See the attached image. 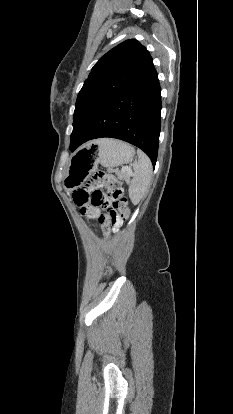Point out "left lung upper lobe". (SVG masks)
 I'll return each mask as SVG.
<instances>
[{"label": "left lung upper lobe", "mask_w": 233, "mask_h": 414, "mask_svg": "<svg viewBox=\"0 0 233 414\" xmlns=\"http://www.w3.org/2000/svg\"><path fill=\"white\" fill-rule=\"evenodd\" d=\"M152 67L149 52L137 40H126L111 49L84 82L77 97L74 121L96 103L129 87Z\"/></svg>", "instance_id": "1"}]
</instances>
